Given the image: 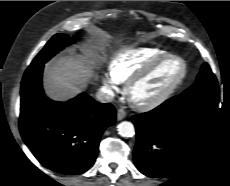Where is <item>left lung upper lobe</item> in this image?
<instances>
[{
	"label": "left lung upper lobe",
	"mask_w": 230,
	"mask_h": 186,
	"mask_svg": "<svg viewBox=\"0 0 230 186\" xmlns=\"http://www.w3.org/2000/svg\"><path fill=\"white\" fill-rule=\"evenodd\" d=\"M211 89H218V83L209 65L207 63H204L200 73L197 76L196 82L183 93H192L200 90Z\"/></svg>",
	"instance_id": "left-lung-upper-lobe-1"
}]
</instances>
